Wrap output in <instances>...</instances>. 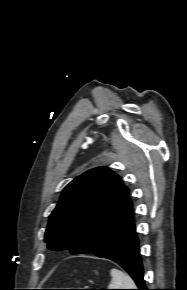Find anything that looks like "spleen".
I'll return each mask as SVG.
<instances>
[{"label":"spleen","mask_w":187,"mask_h":290,"mask_svg":"<svg viewBox=\"0 0 187 290\" xmlns=\"http://www.w3.org/2000/svg\"><path fill=\"white\" fill-rule=\"evenodd\" d=\"M109 289H135L136 285L129 275L118 269H111Z\"/></svg>","instance_id":"3e777b00"}]
</instances>
